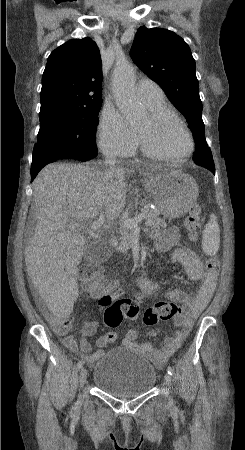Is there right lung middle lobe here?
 I'll use <instances>...</instances> for the list:
<instances>
[{
	"label": "right lung middle lobe",
	"instance_id": "obj_1",
	"mask_svg": "<svg viewBox=\"0 0 245 450\" xmlns=\"http://www.w3.org/2000/svg\"><path fill=\"white\" fill-rule=\"evenodd\" d=\"M101 104L77 108L56 104L40 109L38 146L32 166L51 156L66 152H97L94 127Z\"/></svg>",
	"mask_w": 245,
	"mask_h": 450
}]
</instances>
